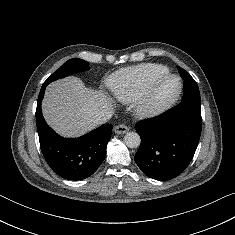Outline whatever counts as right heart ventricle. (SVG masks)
Here are the masks:
<instances>
[{
	"instance_id": "1",
	"label": "right heart ventricle",
	"mask_w": 235,
	"mask_h": 235,
	"mask_svg": "<svg viewBox=\"0 0 235 235\" xmlns=\"http://www.w3.org/2000/svg\"><path fill=\"white\" fill-rule=\"evenodd\" d=\"M166 73L168 69L163 65L143 63L117 72L109 87L117 100L131 103L142 95L152 79Z\"/></svg>"
}]
</instances>
